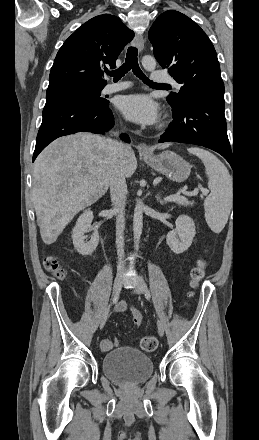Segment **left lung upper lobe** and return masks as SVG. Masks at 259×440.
Returning <instances> with one entry per match:
<instances>
[{
  "label": "left lung upper lobe",
  "instance_id": "1",
  "mask_svg": "<svg viewBox=\"0 0 259 440\" xmlns=\"http://www.w3.org/2000/svg\"><path fill=\"white\" fill-rule=\"evenodd\" d=\"M149 40L161 67L182 85L179 93L166 98L174 111L183 108L186 98L196 92L224 95L214 46L189 17L175 10L162 13L149 30Z\"/></svg>",
  "mask_w": 259,
  "mask_h": 440
}]
</instances>
